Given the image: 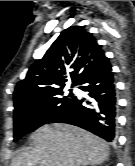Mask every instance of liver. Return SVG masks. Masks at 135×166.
I'll use <instances>...</instances> for the list:
<instances>
[{
    "mask_svg": "<svg viewBox=\"0 0 135 166\" xmlns=\"http://www.w3.org/2000/svg\"><path fill=\"white\" fill-rule=\"evenodd\" d=\"M30 140L34 147L17 155L10 166H87L109 156L106 141L69 124L44 125Z\"/></svg>",
    "mask_w": 135,
    "mask_h": 166,
    "instance_id": "6515ba94",
    "label": "liver"
}]
</instances>
